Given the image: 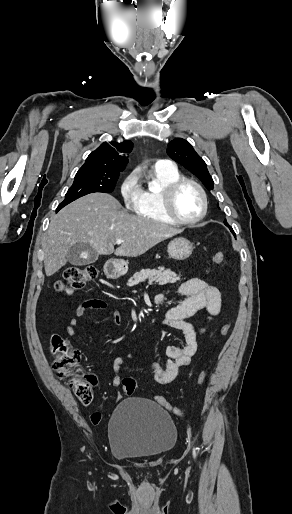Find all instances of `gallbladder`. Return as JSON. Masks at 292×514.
Returning a JSON list of instances; mask_svg holds the SVG:
<instances>
[{
	"label": "gallbladder",
	"mask_w": 292,
	"mask_h": 514,
	"mask_svg": "<svg viewBox=\"0 0 292 514\" xmlns=\"http://www.w3.org/2000/svg\"><path fill=\"white\" fill-rule=\"evenodd\" d=\"M68 262L72 266H87V264H93L98 260V254H96L94 248L86 242H77L71 246L68 256Z\"/></svg>",
	"instance_id": "1"
}]
</instances>
